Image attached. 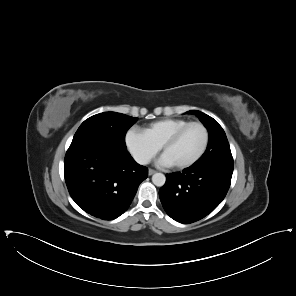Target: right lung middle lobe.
I'll list each match as a JSON object with an SVG mask.
<instances>
[{
	"label": "right lung middle lobe",
	"mask_w": 296,
	"mask_h": 296,
	"mask_svg": "<svg viewBox=\"0 0 296 296\" xmlns=\"http://www.w3.org/2000/svg\"><path fill=\"white\" fill-rule=\"evenodd\" d=\"M136 121L134 117L116 112L96 114L80 125L72 143L94 141L119 149H127L125 134Z\"/></svg>",
	"instance_id": "right-lung-middle-lobe-1"
}]
</instances>
